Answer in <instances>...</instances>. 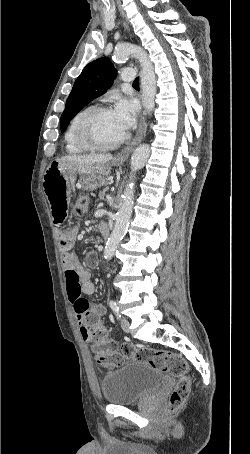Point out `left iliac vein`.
I'll return each instance as SVG.
<instances>
[{"label": "left iliac vein", "mask_w": 250, "mask_h": 454, "mask_svg": "<svg viewBox=\"0 0 250 454\" xmlns=\"http://www.w3.org/2000/svg\"><path fill=\"white\" fill-rule=\"evenodd\" d=\"M121 327L124 330V332L129 333L130 332V322L126 318H122L121 320Z\"/></svg>", "instance_id": "left-iliac-vein-1"}]
</instances>
